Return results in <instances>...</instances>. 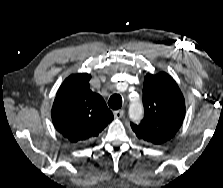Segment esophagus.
Returning a JSON list of instances; mask_svg holds the SVG:
<instances>
[{
	"label": "esophagus",
	"mask_w": 223,
	"mask_h": 188,
	"mask_svg": "<svg viewBox=\"0 0 223 188\" xmlns=\"http://www.w3.org/2000/svg\"><path fill=\"white\" fill-rule=\"evenodd\" d=\"M113 114H114V117H115L116 119H120V118H122V117L124 116L125 111L122 110V109H120V110H116V111H114Z\"/></svg>",
	"instance_id": "obj_1"
}]
</instances>
